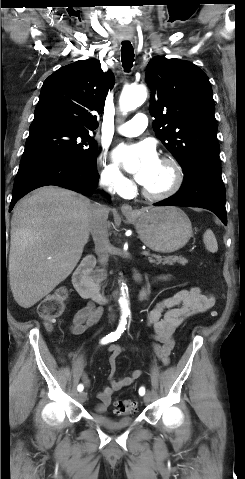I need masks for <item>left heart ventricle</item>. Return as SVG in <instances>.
Listing matches in <instances>:
<instances>
[{
    "instance_id": "left-heart-ventricle-1",
    "label": "left heart ventricle",
    "mask_w": 245,
    "mask_h": 479,
    "mask_svg": "<svg viewBox=\"0 0 245 479\" xmlns=\"http://www.w3.org/2000/svg\"><path fill=\"white\" fill-rule=\"evenodd\" d=\"M171 169L168 165L159 162L150 180L144 187L152 192H160L168 187L171 182Z\"/></svg>"
}]
</instances>
